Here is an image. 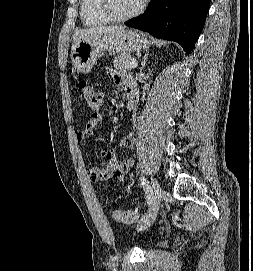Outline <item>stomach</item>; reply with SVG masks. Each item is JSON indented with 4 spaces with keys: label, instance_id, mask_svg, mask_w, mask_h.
Segmentation results:
<instances>
[{
    "label": "stomach",
    "instance_id": "obj_1",
    "mask_svg": "<svg viewBox=\"0 0 253 271\" xmlns=\"http://www.w3.org/2000/svg\"><path fill=\"white\" fill-rule=\"evenodd\" d=\"M149 46L148 39L137 30L93 34L74 44L71 61L77 72L88 73L105 52L123 54L146 50Z\"/></svg>",
    "mask_w": 253,
    "mask_h": 271
}]
</instances>
